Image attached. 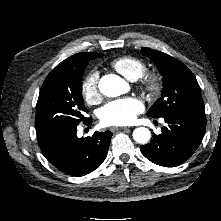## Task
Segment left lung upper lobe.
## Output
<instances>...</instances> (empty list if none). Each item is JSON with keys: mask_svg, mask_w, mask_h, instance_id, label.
<instances>
[{"mask_svg": "<svg viewBox=\"0 0 221 221\" xmlns=\"http://www.w3.org/2000/svg\"><path fill=\"white\" fill-rule=\"evenodd\" d=\"M142 53L156 64L163 76L162 95L148 110L149 117L159 118L182 112L205 115L200 86L184 63L150 48H143Z\"/></svg>", "mask_w": 221, "mask_h": 221, "instance_id": "5c2ea615", "label": "left lung upper lobe"}]
</instances>
